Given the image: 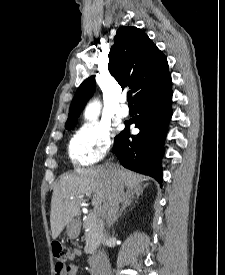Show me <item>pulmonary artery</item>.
<instances>
[{"label": "pulmonary artery", "instance_id": "obj_1", "mask_svg": "<svg viewBox=\"0 0 225 275\" xmlns=\"http://www.w3.org/2000/svg\"><path fill=\"white\" fill-rule=\"evenodd\" d=\"M129 114V109L125 104H121L118 109V115L121 117H127Z\"/></svg>", "mask_w": 225, "mask_h": 275}]
</instances>
